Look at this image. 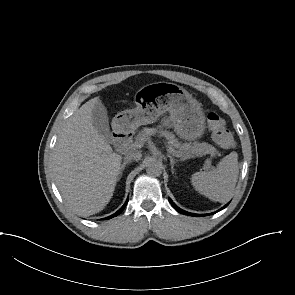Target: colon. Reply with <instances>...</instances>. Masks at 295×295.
Listing matches in <instances>:
<instances>
[{
	"label": "colon",
	"instance_id": "colon-1",
	"mask_svg": "<svg viewBox=\"0 0 295 295\" xmlns=\"http://www.w3.org/2000/svg\"><path fill=\"white\" fill-rule=\"evenodd\" d=\"M208 128L212 133L214 142L223 149H229L234 145L231 132L226 128L222 117L215 111H209L206 115Z\"/></svg>",
	"mask_w": 295,
	"mask_h": 295
}]
</instances>
